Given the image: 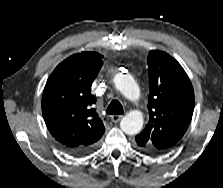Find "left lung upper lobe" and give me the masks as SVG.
I'll use <instances>...</instances> for the list:
<instances>
[{"label": "left lung upper lobe", "instance_id": "5c2ea615", "mask_svg": "<svg viewBox=\"0 0 223 188\" xmlns=\"http://www.w3.org/2000/svg\"><path fill=\"white\" fill-rule=\"evenodd\" d=\"M149 122L135 137L151 155L170 151L185 134L194 110L192 84L181 65L163 51L148 55Z\"/></svg>", "mask_w": 223, "mask_h": 188}]
</instances>
